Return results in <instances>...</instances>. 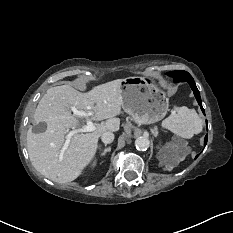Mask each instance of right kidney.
<instances>
[{"mask_svg":"<svg viewBox=\"0 0 233 233\" xmlns=\"http://www.w3.org/2000/svg\"><path fill=\"white\" fill-rule=\"evenodd\" d=\"M96 165V161H94L91 165V167H94Z\"/></svg>","mask_w":233,"mask_h":233,"instance_id":"right-kidney-1","label":"right kidney"}]
</instances>
